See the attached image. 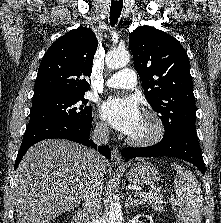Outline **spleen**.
I'll return each mask as SVG.
<instances>
[{
  "label": "spleen",
  "instance_id": "1",
  "mask_svg": "<svg viewBox=\"0 0 221 223\" xmlns=\"http://www.w3.org/2000/svg\"><path fill=\"white\" fill-rule=\"evenodd\" d=\"M171 166L176 170L174 190L180 207L176 223H201L203 195L197 178L183 166L176 163Z\"/></svg>",
  "mask_w": 221,
  "mask_h": 223
}]
</instances>
